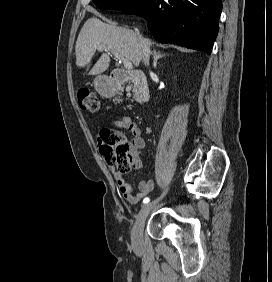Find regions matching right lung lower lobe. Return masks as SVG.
Listing matches in <instances>:
<instances>
[{
	"label": "right lung lower lobe",
	"mask_w": 272,
	"mask_h": 282,
	"mask_svg": "<svg viewBox=\"0 0 272 282\" xmlns=\"http://www.w3.org/2000/svg\"><path fill=\"white\" fill-rule=\"evenodd\" d=\"M221 0H141L123 10L143 16L154 38L211 53L218 33Z\"/></svg>",
	"instance_id": "right-lung-lower-lobe-1"
}]
</instances>
